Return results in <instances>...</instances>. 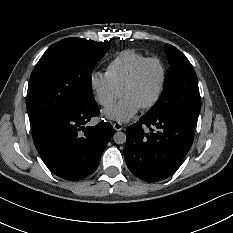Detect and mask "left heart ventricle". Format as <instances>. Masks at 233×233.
Instances as JSON below:
<instances>
[{"label": "left heart ventricle", "instance_id": "obj_1", "mask_svg": "<svg viewBox=\"0 0 233 233\" xmlns=\"http://www.w3.org/2000/svg\"><path fill=\"white\" fill-rule=\"evenodd\" d=\"M162 79V68L158 62L149 63L137 81L121 92L122 97H131L144 105L156 96Z\"/></svg>", "mask_w": 233, "mask_h": 233}]
</instances>
